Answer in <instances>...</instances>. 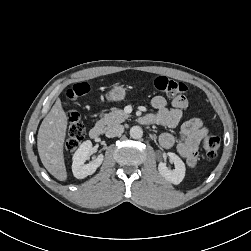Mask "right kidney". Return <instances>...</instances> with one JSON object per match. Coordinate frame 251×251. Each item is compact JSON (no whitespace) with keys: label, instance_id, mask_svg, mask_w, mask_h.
<instances>
[{"label":"right kidney","instance_id":"obj_1","mask_svg":"<svg viewBox=\"0 0 251 251\" xmlns=\"http://www.w3.org/2000/svg\"><path fill=\"white\" fill-rule=\"evenodd\" d=\"M92 149V142L90 140L84 141L73 155L72 172L78 179H83L88 175H92L104 160L103 154L88 164H85L88 155Z\"/></svg>","mask_w":251,"mask_h":251}]
</instances>
